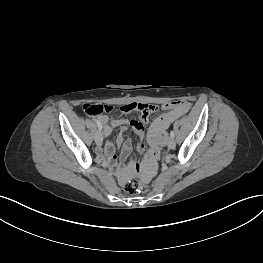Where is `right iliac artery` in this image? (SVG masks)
<instances>
[{
    "label": "right iliac artery",
    "instance_id": "obj_1",
    "mask_svg": "<svg viewBox=\"0 0 263 263\" xmlns=\"http://www.w3.org/2000/svg\"><path fill=\"white\" fill-rule=\"evenodd\" d=\"M96 124L98 126V129L102 130V124L98 120H96Z\"/></svg>",
    "mask_w": 263,
    "mask_h": 263
}]
</instances>
